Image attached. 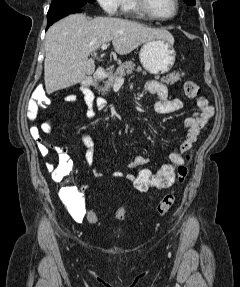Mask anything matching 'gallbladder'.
Returning a JSON list of instances; mask_svg holds the SVG:
<instances>
[{"label":"gallbladder","mask_w":240,"mask_h":287,"mask_svg":"<svg viewBox=\"0 0 240 287\" xmlns=\"http://www.w3.org/2000/svg\"><path fill=\"white\" fill-rule=\"evenodd\" d=\"M94 64L92 63H89L88 65H87V75H91L93 72H94Z\"/></svg>","instance_id":"1"}]
</instances>
